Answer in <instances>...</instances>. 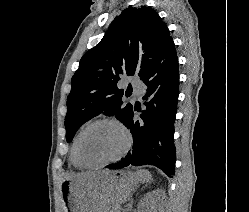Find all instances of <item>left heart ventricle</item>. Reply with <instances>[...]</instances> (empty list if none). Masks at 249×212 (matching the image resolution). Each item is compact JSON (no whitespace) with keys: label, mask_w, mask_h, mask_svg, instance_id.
Returning <instances> with one entry per match:
<instances>
[{"label":"left heart ventricle","mask_w":249,"mask_h":212,"mask_svg":"<svg viewBox=\"0 0 249 212\" xmlns=\"http://www.w3.org/2000/svg\"><path fill=\"white\" fill-rule=\"evenodd\" d=\"M123 145L120 130L114 125L102 124L84 135L79 144V155L85 163H100L117 156Z\"/></svg>","instance_id":"obj_1"}]
</instances>
